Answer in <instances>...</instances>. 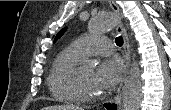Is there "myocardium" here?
Instances as JSON below:
<instances>
[{
	"instance_id": "obj_1",
	"label": "myocardium",
	"mask_w": 171,
	"mask_h": 110,
	"mask_svg": "<svg viewBox=\"0 0 171 110\" xmlns=\"http://www.w3.org/2000/svg\"><path fill=\"white\" fill-rule=\"evenodd\" d=\"M70 86L77 98L83 102H96L103 98L102 94L92 95L88 93L80 80V67H76L70 76Z\"/></svg>"
}]
</instances>
